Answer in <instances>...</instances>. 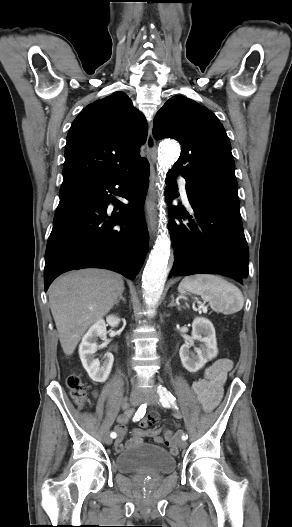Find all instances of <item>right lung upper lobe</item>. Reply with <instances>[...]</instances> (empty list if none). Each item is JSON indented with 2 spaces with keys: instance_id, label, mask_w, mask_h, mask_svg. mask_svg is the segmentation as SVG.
<instances>
[{
  "instance_id": "obj_1",
  "label": "right lung upper lobe",
  "mask_w": 292,
  "mask_h": 527,
  "mask_svg": "<svg viewBox=\"0 0 292 527\" xmlns=\"http://www.w3.org/2000/svg\"><path fill=\"white\" fill-rule=\"evenodd\" d=\"M147 131L144 116L121 91L89 104L68 132L63 182L107 181L138 169L147 161L139 155Z\"/></svg>"
}]
</instances>
